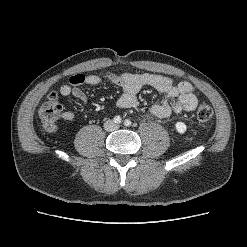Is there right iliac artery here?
Segmentation results:
<instances>
[{
    "mask_svg": "<svg viewBox=\"0 0 247 247\" xmlns=\"http://www.w3.org/2000/svg\"><path fill=\"white\" fill-rule=\"evenodd\" d=\"M113 120H114V122L117 123V124L121 123V121H122V119H121L120 116H115Z\"/></svg>",
    "mask_w": 247,
    "mask_h": 247,
    "instance_id": "right-iliac-artery-1",
    "label": "right iliac artery"
}]
</instances>
